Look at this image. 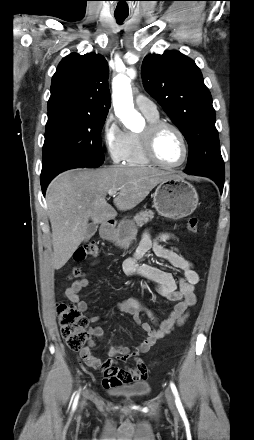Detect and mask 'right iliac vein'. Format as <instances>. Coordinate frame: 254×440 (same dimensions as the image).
<instances>
[{"mask_svg": "<svg viewBox=\"0 0 254 440\" xmlns=\"http://www.w3.org/2000/svg\"><path fill=\"white\" fill-rule=\"evenodd\" d=\"M85 404H86V400L83 399V400L80 402V408H83V407L85 406Z\"/></svg>", "mask_w": 254, "mask_h": 440, "instance_id": "1", "label": "right iliac vein"}]
</instances>
